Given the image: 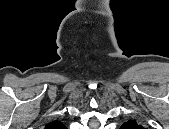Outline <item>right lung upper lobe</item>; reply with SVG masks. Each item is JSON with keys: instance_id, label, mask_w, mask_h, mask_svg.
Listing matches in <instances>:
<instances>
[{"instance_id": "obj_1", "label": "right lung upper lobe", "mask_w": 169, "mask_h": 129, "mask_svg": "<svg viewBox=\"0 0 169 129\" xmlns=\"http://www.w3.org/2000/svg\"><path fill=\"white\" fill-rule=\"evenodd\" d=\"M47 129H64L65 126L60 121H53L46 126Z\"/></svg>"}]
</instances>
